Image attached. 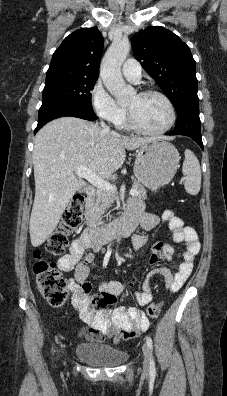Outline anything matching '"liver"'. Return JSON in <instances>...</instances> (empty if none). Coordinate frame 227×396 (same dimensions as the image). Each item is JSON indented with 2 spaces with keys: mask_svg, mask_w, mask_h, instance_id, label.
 <instances>
[{
  "mask_svg": "<svg viewBox=\"0 0 227 396\" xmlns=\"http://www.w3.org/2000/svg\"><path fill=\"white\" fill-rule=\"evenodd\" d=\"M160 138L126 137L77 117H61L35 136V198L29 232L33 247L42 245L59 223L73 195L84 186L75 172L85 166L101 178L122 167L126 149Z\"/></svg>",
  "mask_w": 227,
  "mask_h": 396,
  "instance_id": "obj_1",
  "label": "liver"
}]
</instances>
